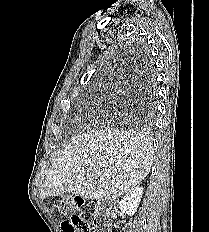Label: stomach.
I'll return each mask as SVG.
<instances>
[{
	"mask_svg": "<svg viewBox=\"0 0 209 232\" xmlns=\"http://www.w3.org/2000/svg\"><path fill=\"white\" fill-rule=\"evenodd\" d=\"M73 198H62L58 201L59 214H77L76 206H73Z\"/></svg>",
	"mask_w": 209,
	"mask_h": 232,
	"instance_id": "1",
	"label": "stomach"
}]
</instances>
